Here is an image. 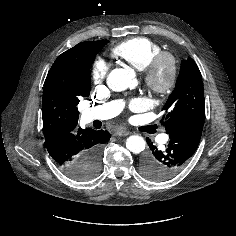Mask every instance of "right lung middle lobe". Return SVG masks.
I'll list each match as a JSON object with an SVG mask.
<instances>
[{
    "mask_svg": "<svg viewBox=\"0 0 236 236\" xmlns=\"http://www.w3.org/2000/svg\"><path fill=\"white\" fill-rule=\"evenodd\" d=\"M105 43L104 45H106ZM102 48L99 47L96 51L93 52L92 56L89 58L87 66L84 70H82L78 77V90L79 93L87 97L90 94V66L92 61L94 60L98 51ZM100 170V153L99 154H90L86 161L81 166L80 175L76 177L75 173L71 175L72 178H76L78 180H89L94 178Z\"/></svg>",
    "mask_w": 236,
    "mask_h": 236,
    "instance_id": "dd1d6c3e",
    "label": "right lung middle lobe"
}]
</instances>
